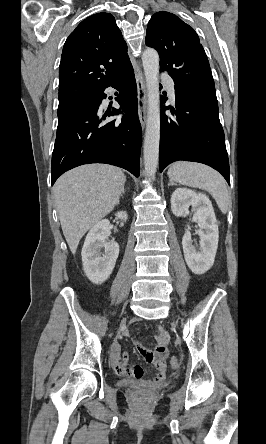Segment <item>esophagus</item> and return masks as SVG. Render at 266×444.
<instances>
[{
	"mask_svg": "<svg viewBox=\"0 0 266 444\" xmlns=\"http://www.w3.org/2000/svg\"><path fill=\"white\" fill-rule=\"evenodd\" d=\"M138 115L142 128L145 127L147 112V97L144 79L140 71L136 72Z\"/></svg>",
	"mask_w": 266,
	"mask_h": 444,
	"instance_id": "obj_1",
	"label": "esophagus"
}]
</instances>
